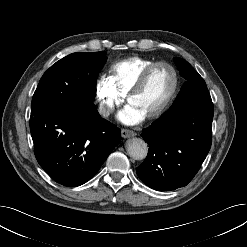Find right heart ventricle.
<instances>
[{"label": "right heart ventricle", "instance_id": "right-heart-ventricle-1", "mask_svg": "<svg viewBox=\"0 0 247 247\" xmlns=\"http://www.w3.org/2000/svg\"><path fill=\"white\" fill-rule=\"evenodd\" d=\"M155 61L144 57H129L115 63L110 71L108 80L114 89L126 96L141 72Z\"/></svg>", "mask_w": 247, "mask_h": 247}]
</instances>
